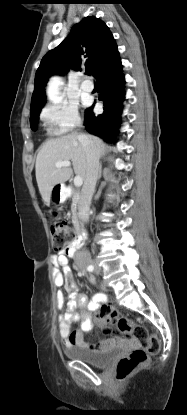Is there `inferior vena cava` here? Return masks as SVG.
I'll list each match as a JSON object with an SVG mask.
<instances>
[{"mask_svg": "<svg viewBox=\"0 0 187 415\" xmlns=\"http://www.w3.org/2000/svg\"><path fill=\"white\" fill-rule=\"evenodd\" d=\"M79 141L81 142L86 153V176L84 185L81 191V197L79 201V217L82 221H88V214L90 210V204L95 192L96 182L99 172V156L95 149L93 142L86 135H79Z\"/></svg>", "mask_w": 187, "mask_h": 415, "instance_id": "602c4592", "label": "inferior vena cava"}]
</instances>
